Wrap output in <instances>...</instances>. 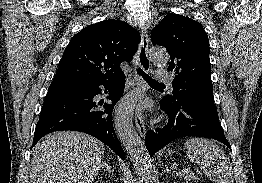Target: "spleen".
Returning a JSON list of instances; mask_svg holds the SVG:
<instances>
[{
  "instance_id": "3e777b00",
  "label": "spleen",
  "mask_w": 262,
  "mask_h": 183,
  "mask_svg": "<svg viewBox=\"0 0 262 183\" xmlns=\"http://www.w3.org/2000/svg\"><path fill=\"white\" fill-rule=\"evenodd\" d=\"M192 162L201 166L214 183H233V171L224 151L215 143L204 138H192L184 143Z\"/></svg>"
}]
</instances>
